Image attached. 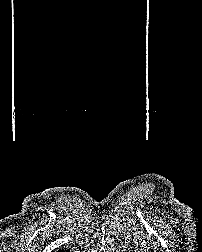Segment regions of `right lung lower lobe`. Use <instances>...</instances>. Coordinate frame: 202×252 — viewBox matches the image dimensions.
I'll use <instances>...</instances> for the list:
<instances>
[{
  "mask_svg": "<svg viewBox=\"0 0 202 252\" xmlns=\"http://www.w3.org/2000/svg\"><path fill=\"white\" fill-rule=\"evenodd\" d=\"M58 252H65V251L62 249V250H59ZM67 252H69V251H67Z\"/></svg>",
  "mask_w": 202,
  "mask_h": 252,
  "instance_id": "right-lung-lower-lobe-1",
  "label": "right lung lower lobe"
}]
</instances>
